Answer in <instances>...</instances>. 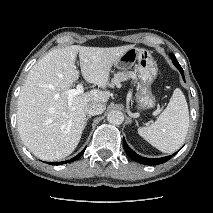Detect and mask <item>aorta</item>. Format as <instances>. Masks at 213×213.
Listing matches in <instances>:
<instances>
[{
    "label": "aorta",
    "mask_w": 213,
    "mask_h": 213,
    "mask_svg": "<svg viewBox=\"0 0 213 213\" xmlns=\"http://www.w3.org/2000/svg\"><path fill=\"white\" fill-rule=\"evenodd\" d=\"M107 120L110 124L120 125L124 121V114L119 110H112L108 113Z\"/></svg>",
    "instance_id": "aorta-1"
}]
</instances>
